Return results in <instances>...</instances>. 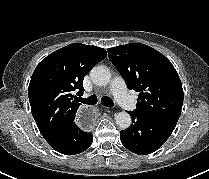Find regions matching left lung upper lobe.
<instances>
[{
  "label": "left lung upper lobe",
  "mask_w": 209,
  "mask_h": 179,
  "mask_svg": "<svg viewBox=\"0 0 209 179\" xmlns=\"http://www.w3.org/2000/svg\"><path fill=\"white\" fill-rule=\"evenodd\" d=\"M107 51L128 88L140 92L136 111L177 122L184 93L172 63L157 50L139 43Z\"/></svg>",
  "instance_id": "left-lung-upper-lobe-1"
}]
</instances>
